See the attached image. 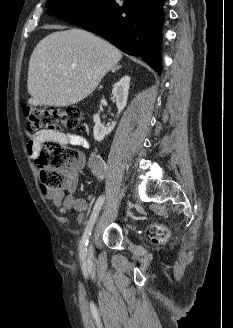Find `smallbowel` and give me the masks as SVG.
Listing matches in <instances>:
<instances>
[{"mask_svg": "<svg viewBox=\"0 0 233 328\" xmlns=\"http://www.w3.org/2000/svg\"><path fill=\"white\" fill-rule=\"evenodd\" d=\"M27 135L29 136L27 142V151L30 155H35L40 148V145L48 140H54L60 143L63 146L73 145L81 146L83 148L89 147L88 140L76 134H67L59 131H50V130H40L34 134H30L27 130ZM77 187V179L74 178L64 188L55 189V190H46L42 188V193L46 199L50 200L53 205L59 208L61 213H65L70 209H74L78 215L79 219L82 220L84 212L86 210L87 204L85 200L76 198L73 194ZM65 190L69 194H65Z\"/></svg>", "mask_w": 233, "mask_h": 328, "instance_id": "1", "label": "small bowel"}]
</instances>
